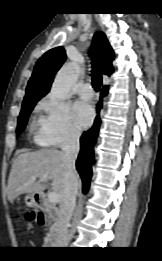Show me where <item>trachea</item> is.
<instances>
[{
    "instance_id": "trachea-1",
    "label": "trachea",
    "mask_w": 162,
    "mask_h": 261,
    "mask_svg": "<svg viewBox=\"0 0 162 261\" xmlns=\"http://www.w3.org/2000/svg\"><path fill=\"white\" fill-rule=\"evenodd\" d=\"M97 70H98L97 62L95 60H93L92 61V73H91L92 85L96 91H99V89L102 85V76L98 73Z\"/></svg>"
}]
</instances>
